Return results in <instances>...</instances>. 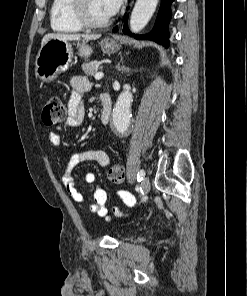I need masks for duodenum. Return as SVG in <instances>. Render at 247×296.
Returning a JSON list of instances; mask_svg holds the SVG:
<instances>
[{"instance_id":"1","label":"duodenum","mask_w":247,"mask_h":296,"mask_svg":"<svg viewBox=\"0 0 247 296\" xmlns=\"http://www.w3.org/2000/svg\"><path fill=\"white\" fill-rule=\"evenodd\" d=\"M100 102L102 105L101 121L103 125L107 126L111 117L112 101L107 93H101Z\"/></svg>"}]
</instances>
